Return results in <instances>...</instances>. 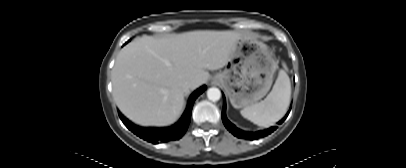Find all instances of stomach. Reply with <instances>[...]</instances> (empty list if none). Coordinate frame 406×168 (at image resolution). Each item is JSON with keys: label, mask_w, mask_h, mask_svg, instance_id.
<instances>
[{"label": "stomach", "mask_w": 406, "mask_h": 168, "mask_svg": "<svg viewBox=\"0 0 406 168\" xmlns=\"http://www.w3.org/2000/svg\"><path fill=\"white\" fill-rule=\"evenodd\" d=\"M277 67L274 53L267 45L243 36L214 81L224 88L234 108H245L269 92Z\"/></svg>", "instance_id": "0dacf381"}]
</instances>
